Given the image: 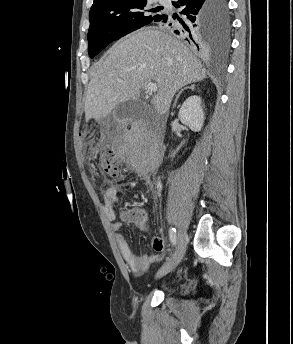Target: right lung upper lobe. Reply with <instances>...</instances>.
I'll return each mask as SVG.
<instances>
[{"instance_id": "1", "label": "right lung upper lobe", "mask_w": 293, "mask_h": 344, "mask_svg": "<svg viewBox=\"0 0 293 344\" xmlns=\"http://www.w3.org/2000/svg\"><path fill=\"white\" fill-rule=\"evenodd\" d=\"M116 1H119V0H94V3L91 7V10L98 8V7H101V6L111 4V3L116 2Z\"/></svg>"}]
</instances>
